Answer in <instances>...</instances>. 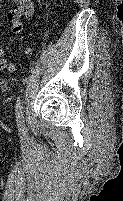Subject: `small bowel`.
I'll use <instances>...</instances> for the list:
<instances>
[{"label": "small bowel", "mask_w": 123, "mask_h": 201, "mask_svg": "<svg viewBox=\"0 0 123 201\" xmlns=\"http://www.w3.org/2000/svg\"><path fill=\"white\" fill-rule=\"evenodd\" d=\"M14 8L6 14L5 22L10 26L13 33H19L22 30V19L32 16L34 11L33 0H11ZM4 52V49L0 46Z\"/></svg>", "instance_id": "1"}]
</instances>
